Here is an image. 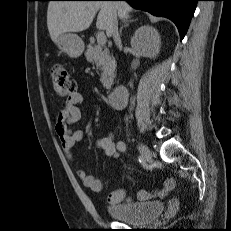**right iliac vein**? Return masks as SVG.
Segmentation results:
<instances>
[{"mask_svg":"<svg viewBox=\"0 0 231 231\" xmlns=\"http://www.w3.org/2000/svg\"><path fill=\"white\" fill-rule=\"evenodd\" d=\"M139 151L141 153L142 158L145 161L150 162L152 160L153 154H152V152L150 151V149L146 145L140 144L139 145Z\"/></svg>","mask_w":231,"mask_h":231,"instance_id":"1","label":"right iliac vein"}]
</instances>
